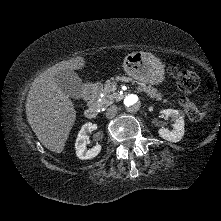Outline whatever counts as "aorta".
Returning <instances> with one entry per match:
<instances>
[{
    "instance_id": "obj_1",
    "label": "aorta",
    "mask_w": 221,
    "mask_h": 221,
    "mask_svg": "<svg viewBox=\"0 0 221 221\" xmlns=\"http://www.w3.org/2000/svg\"><path fill=\"white\" fill-rule=\"evenodd\" d=\"M139 98L135 94H129L124 98V105L132 110L139 108Z\"/></svg>"
}]
</instances>
